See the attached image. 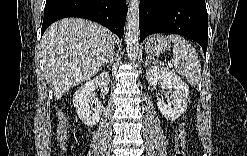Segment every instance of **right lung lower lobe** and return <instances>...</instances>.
<instances>
[{
	"label": "right lung lower lobe",
	"mask_w": 247,
	"mask_h": 156,
	"mask_svg": "<svg viewBox=\"0 0 247 156\" xmlns=\"http://www.w3.org/2000/svg\"><path fill=\"white\" fill-rule=\"evenodd\" d=\"M66 17H79L95 21L122 38L126 20V1L47 0L41 35L53 22Z\"/></svg>",
	"instance_id": "right-lung-lower-lobe-1"
}]
</instances>
